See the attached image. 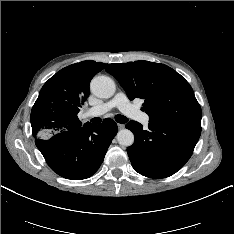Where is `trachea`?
Here are the masks:
<instances>
[{
	"label": "trachea",
	"instance_id": "trachea-1",
	"mask_svg": "<svg viewBox=\"0 0 234 234\" xmlns=\"http://www.w3.org/2000/svg\"><path fill=\"white\" fill-rule=\"evenodd\" d=\"M115 120H116L118 123H121V124L126 123V122L128 121V119H127L125 116H123V115H116V116H115ZM92 122L98 124V123L101 122V119L96 117V118H93V119H92Z\"/></svg>",
	"mask_w": 234,
	"mask_h": 234
}]
</instances>
